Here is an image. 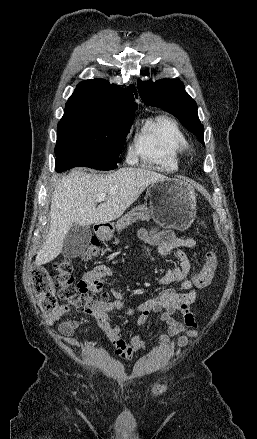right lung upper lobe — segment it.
I'll list each match as a JSON object with an SVG mask.
<instances>
[{"mask_svg": "<svg viewBox=\"0 0 257 439\" xmlns=\"http://www.w3.org/2000/svg\"><path fill=\"white\" fill-rule=\"evenodd\" d=\"M134 96L137 97L134 85L123 89L104 79L86 80L77 85L67 101L64 116L90 114L120 118L137 109Z\"/></svg>", "mask_w": 257, "mask_h": 439, "instance_id": "1", "label": "right lung upper lobe"}]
</instances>
